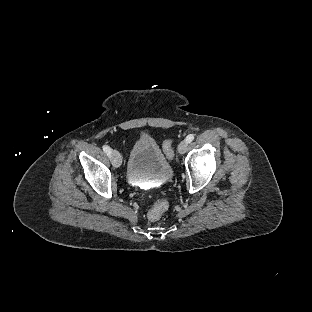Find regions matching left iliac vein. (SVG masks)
<instances>
[{"instance_id": "4c4485c4", "label": "left iliac vein", "mask_w": 312, "mask_h": 312, "mask_svg": "<svg viewBox=\"0 0 312 312\" xmlns=\"http://www.w3.org/2000/svg\"><path fill=\"white\" fill-rule=\"evenodd\" d=\"M188 147V141L187 140H183L179 146H178V151L180 154L185 153L186 149Z\"/></svg>"}]
</instances>
